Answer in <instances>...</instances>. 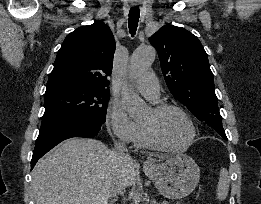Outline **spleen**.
Here are the masks:
<instances>
[{
    "label": "spleen",
    "instance_id": "3e777b00",
    "mask_svg": "<svg viewBox=\"0 0 261 204\" xmlns=\"http://www.w3.org/2000/svg\"><path fill=\"white\" fill-rule=\"evenodd\" d=\"M229 183H230V177L228 174L227 169L221 168L220 169V177L218 180V185H217V190H216V195L217 198L220 201H223L226 199L229 191Z\"/></svg>",
    "mask_w": 261,
    "mask_h": 204
}]
</instances>
